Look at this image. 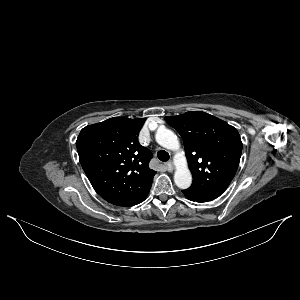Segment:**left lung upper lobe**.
<instances>
[{
	"instance_id": "5c2ea615",
	"label": "left lung upper lobe",
	"mask_w": 300,
	"mask_h": 300,
	"mask_svg": "<svg viewBox=\"0 0 300 300\" xmlns=\"http://www.w3.org/2000/svg\"><path fill=\"white\" fill-rule=\"evenodd\" d=\"M184 141L193 176L190 188L222 194L237 171L242 142L236 128L201 111L165 117Z\"/></svg>"
}]
</instances>
